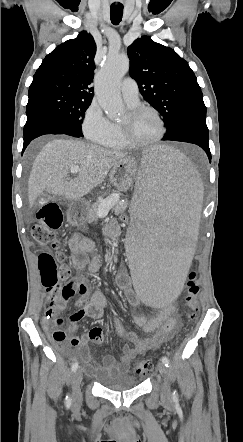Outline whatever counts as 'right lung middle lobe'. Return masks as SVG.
I'll list each match as a JSON object with an SVG mask.
<instances>
[{
  "label": "right lung middle lobe",
  "instance_id": "1",
  "mask_svg": "<svg viewBox=\"0 0 243 442\" xmlns=\"http://www.w3.org/2000/svg\"><path fill=\"white\" fill-rule=\"evenodd\" d=\"M90 104L91 101L83 100L76 96L50 92L29 97L26 113L32 110L48 111L59 116L68 122L75 130L82 133L81 124L85 111Z\"/></svg>",
  "mask_w": 243,
  "mask_h": 442
}]
</instances>
